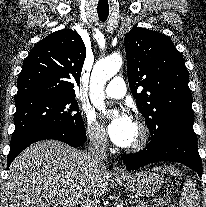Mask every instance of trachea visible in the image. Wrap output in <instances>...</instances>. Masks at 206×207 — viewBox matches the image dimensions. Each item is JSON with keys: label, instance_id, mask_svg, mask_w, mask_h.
Masks as SVG:
<instances>
[{"label": "trachea", "instance_id": "3493384b", "mask_svg": "<svg viewBox=\"0 0 206 207\" xmlns=\"http://www.w3.org/2000/svg\"><path fill=\"white\" fill-rule=\"evenodd\" d=\"M98 12V17L102 22H105L107 20L109 11H97Z\"/></svg>", "mask_w": 206, "mask_h": 207}]
</instances>
